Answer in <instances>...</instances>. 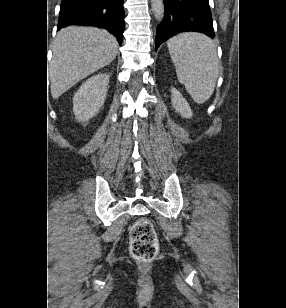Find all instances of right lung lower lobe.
Wrapping results in <instances>:
<instances>
[{
	"label": "right lung lower lobe",
	"mask_w": 286,
	"mask_h": 308,
	"mask_svg": "<svg viewBox=\"0 0 286 308\" xmlns=\"http://www.w3.org/2000/svg\"><path fill=\"white\" fill-rule=\"evenodd\" d=\"M89 25L109 30L119 44L123 40V0H62L57 29Z\"/></svg>",
	"instance_id": "1"
}]
</instances>
